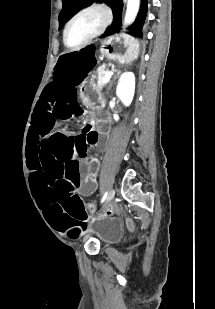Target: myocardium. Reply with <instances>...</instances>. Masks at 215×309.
I'll use <instances>...</instances> for the list:
<instances>
[{
    "instance_id": "myocardium-1",
    "label": "myocardium",
    "mask_w": 215,
    "mask_h": 309,
    "mask_svg": "<svg viewBox=\"0 0 215 309\" xmlns=\"http://www.w3.org/2000/svg\"><path fill=\"white\" fill-rule=\"evenodd\" d=\"M109 12L101 7H88L76 13L65 25L62 38L65 47L67 48H84L93 39L98 37L111 24L109 20ZM80 21L85 22L86 31L82 38L72 43L69 40L71 29Z\"/></svg>"
}]
</instances>
